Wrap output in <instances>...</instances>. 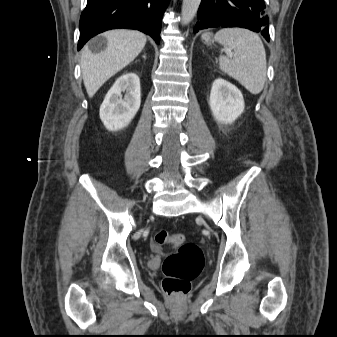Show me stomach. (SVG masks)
<instances>
[{
  "label": "stomach",
  "instance_id": "0dacf381",
  "mask_svg": "<svg viewBox=\"0 0 337 337\" xmlns=\"http://www.w3.org/2000/svg\"><path fill=\"white\" fill-rule=\"evenodd\" d=\"M202 41L206 44V45H211L213 40L211 38V34L210 33H204L202 35Z\"/></svg>",
  "mask_w": 337,
  "mask_h": 337
}]
</instances>
